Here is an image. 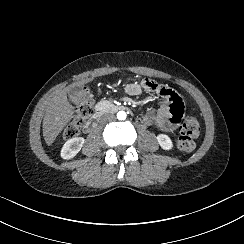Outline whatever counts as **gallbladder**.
<instances>
[{"instance_id": "bac80fb5", "label": "gallbladder", "mask_w": 244, "mask_h": 244, "mask_svg": "<svg viewBox=\"0 0 244 244\" xmlns=\"http://www.w3.org/2000/svg\"><path fill=\"white\" fill-rule=\"evenodd\" d=\"M93 93L88 88L72 87L69 91V98L75 105H83L85 101L90 100Z\"/></svg>"}]
</instances>
